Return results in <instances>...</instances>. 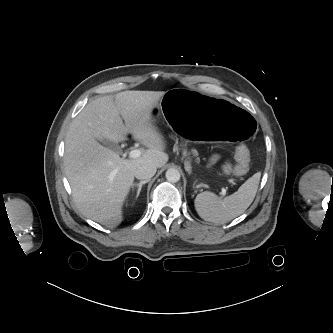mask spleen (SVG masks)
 <instances>
[{"label": "spleen", "mask_w": 333, "mask_h": 333, "mask_svg": "<svg viewBox=\"0 0 333 333\" xmlns=\"http://www.w3.org/2000/svg\"><path fill=\"white\" fill-rule=\"evenodd\" d=\"M260 177L261 173H255L236 192L224 199L208 191L198 194L194 200L198 215L215 224L227 223L241 215L253 202Z\"/></svg>", "instance_id": "spleen-1"}]
</instances>
